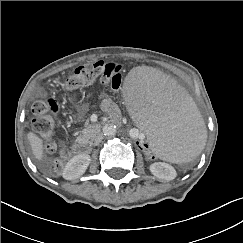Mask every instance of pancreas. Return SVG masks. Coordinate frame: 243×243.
Listing matches in <instances>:
<instances>
[{
  "label": "pancreas",
  "mask_w": 243,
  "mask_h": 243,
  "mask_svg": "<svg viewBox=\"0 0 243 243\" xmlns=\"http://www.w3.org/2000/svg\"><path fill=\"white\" fill-rule=\"evenodd\" d=\"M99 132H100L99 126L91 125L89 124V121H86V127L82 130L81 134L77 137V141L90 143Z\"/></svg>",
  "instance_id": "obj_1"
}]
</instances>
